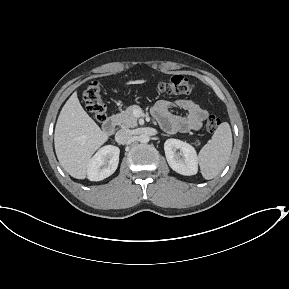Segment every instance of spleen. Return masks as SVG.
I'll return each mask as SVG.
<instances>
[{"mask_svg": "<svg viewBox=\"0 0 289 289\" xmlns=\"http://www.w3.org/2000/svg\"><path fill=\"white\" fill-rule=\"evenodd\" d=\"M232 144L230 125L223 122L198 155L201 174L206 180L215 178L225 168L232 151Z\"/></svg>", "mask_w": 289, "mask_h": 289, "instance_id": "1", "label": "spleen"}]
</instances>
